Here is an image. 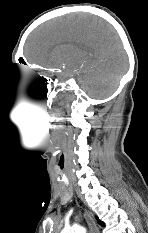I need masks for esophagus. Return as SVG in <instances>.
Masks as SVG:
<instances>
[{
  "label": "esophagus",
  "instance_id": "34e87169",
  "mask_svg": "<svg viewBox=\"0 0 148 233\" xmlns=\"http://www.w3.org/2000/svg\"><path fill=\"white\" fill-rule=\"evenodd\" d=\"M84 217L88 223L89 226V233H100V230L94 221V219L91 217V215L85 210L84 211Z\"/></svg>",
  "mask_w": 148,
  "mask_h": 233
}]
</instances>
